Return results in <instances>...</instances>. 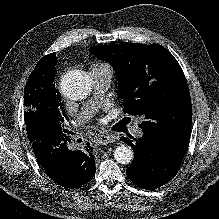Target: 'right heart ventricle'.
<instances>
[{"label":"right heart ventricle","mask_w":219,"mask_h":219,"mask_svg":"<svg viewBox=\"0 0 219 219\" xmlns=\"http://www.w3.org/2000/svg\"><path fill=\"white\" fill-rule=\"evenodd\" d=\"M103 67H107L105 64H101V63H95L93 64L90 69L92 68H103Z\"/></svg>","instance_id":"obj_1"}]
</instances>
